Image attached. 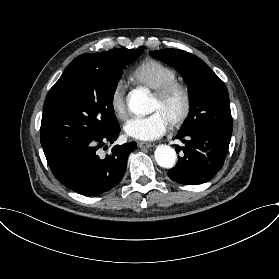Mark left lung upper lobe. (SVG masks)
Listing matches in <instances>:
<instances>
[{"mask_svg":"<svg viewBox=\"0 0 279 279\" xmlns=\"http://www.w3.org/2000/svg\"><path fill=\"white\" fill-rule=\"evenodd\" d=\"M150 54L173 66L188 84L191 112L180 131L203 126L232 131L227 88L205 62L193 54L177 49H162Z\"/></svg>","mask_w":279,"mask_h":279,"instance_id":"5c2ea615","label":"left lung upper lobe"}]
</instances>
